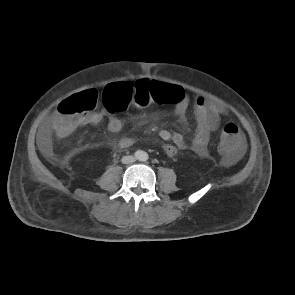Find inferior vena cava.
<instances>
[{"label":"inferior vena cava","mask_w":295,"mask_h":295,"mask_svg":"<svg viewBox=\"0 0 295 295\" xmlns=\"http://www.w3.org/2000/svg\"><path fill=\"white\" fill-rule=\"evenodd\" d=\"M136 158L134 156H124L122 158V163L123 164H129L135 162Z\"/></svg>","instance_id":"602c4592"}]
</instances>
